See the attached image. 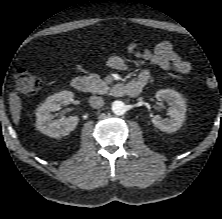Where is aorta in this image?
<instances>
[{
	"label": "aorta",
	"mask_w": 222,
	"mask_h": 219,
	"mask_svg": "<svg viewBox=\"0 0 222 219\" xmlns=\"http://www.w3.org/2000/svg\"><path fill=\"white\" fill-rule=\"evenodd\" d=\"M112 111L116 115H123L126 112V106L122 101H114L112 103Z\"/></svg>",
	"instance_id": "762f6f07"
}]
</instances>
